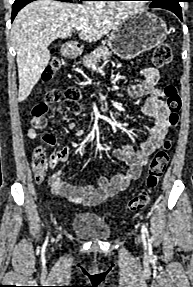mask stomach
Wrapping results in <instances>:
<instances>
[{
    "label": "stomach",
    "instance_id": "1",
    "mask_svg": "<svg viewBox=\"0 0 193 287\" xmlns=\"http://www.w3.org/2000/svg\"><path fill=\"white\" fill-rule=\"evenodd\" d=\"M168 35L166 23L147 11L124 19L108 35V46L121 59H133L162 44Z\"/></svg>",
    "mask_w": 193,
    "mask_h": 287
}]
</instances>
